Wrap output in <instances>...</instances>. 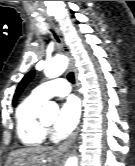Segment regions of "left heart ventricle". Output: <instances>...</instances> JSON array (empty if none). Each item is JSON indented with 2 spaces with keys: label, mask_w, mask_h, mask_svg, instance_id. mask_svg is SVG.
Wrapping results in <instances>:
<instances>
[{
  "label": "left heart ventricle",
  "mask_w": 135,
  "mask_h": 166,
  "mask_svg": "<svg viewBox=\"0 0 135 166\" xmlns=\"http://www.w3.org/2000/svg\"><path fill=\"white\" fill-rule=\"evenodd\" d=\"M54 120H55V116L43 118L44 123H46L49 126L53 124Z\"/></svg>",
  "instance_id": "b2bd125f"
}]
</instances>
